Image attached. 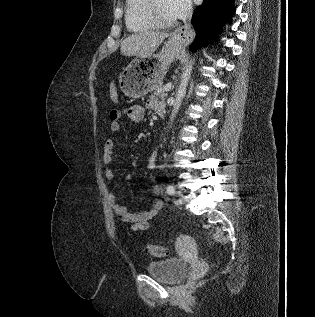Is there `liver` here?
<instances>
[{"label":"liver","instance_id":"liver-1","mask_svg":"<svg viewBox=\"0 0 315 317\" xmlns=\"http://www.w3.org/2000/svg\"><path fill=\"white\" fill-rule=\"evenodd\" d=\"M167 37H169V33L158 31L135 33L122 41L120 51L124 56L148 57Z\"/></svg>","mask_w":315,"mask_h":317}]
</instances>
